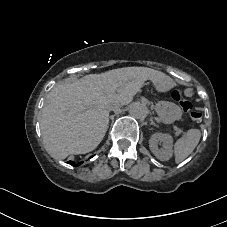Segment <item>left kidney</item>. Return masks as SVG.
I'll use <instances>...</instances> for the list:
<instances>
[{"mask_svg": "<svg viewBox=\"0 0 227 227\" xmlns=\"http://www.w3.org/2000/svg\"><path fill=\"white\" fill-rule=\"evenodd\" d=\"M160 143H162L161 149L158 148ZM149 147L159 160L167 161L173 155V138L169 134L155 133L149 139Z\"/></svg>", "mask_w": 227, "mask_h": 227, "instance_id": "5707ae66", "label": "left kidney"}]
</instances>
